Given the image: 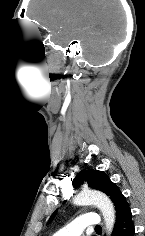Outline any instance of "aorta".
I'll list each match as a JSON object with an SVG mask.
<instances>
[{"label": "aorta", "instance_id": "1", "mask_svg": "<svg viewBox=\"0 0 145 236\" xmlns=\"http://www.w3.org/2000/svg\"><path fill=\"white\" fill-rule=\"evenodd\" d=\"M75 205H96L102 212L107 234L112 233L115 224V210L111 200L102 192L95 190H83L73 199Z\"/></svg>", "mask_w": 145, "mask_h": 236}]
</instances>
